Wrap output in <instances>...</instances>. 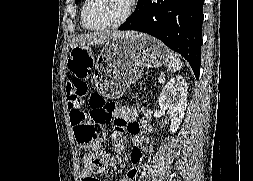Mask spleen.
Masks as SVG:
<instances>
[{
    "label": "spleen",
    "mask_w": 253,
    "mask_h": 181,
    "mask_svg": "<svg viewBox=\"0 0 253 181\" xmlns=\"http://www.w3.org/2000/svg\"><path fill=\"white\" fill-rule=\"evenodd\" d=\"M169 63H168V70L171 72H176L182 68V62L177 57L176 53H173L172 51H169Z\"/></svg>",
    "instance_id": "obj_1"
}]
</instances>
